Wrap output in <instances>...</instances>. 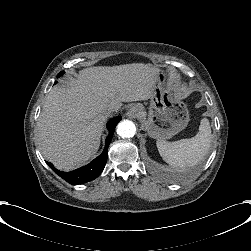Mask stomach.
<instances>
[{
	"mask_svg": "<svg viewBox=\"0 0 251 251\" xmlns=\"http://www.w3.org/2000/svg\"><path fill=\"white\" fill-rule=\"evenodd\" d=\"M169 74L157 68L154 75V95L149 98L147 117L144 109L136 117L150 138L166 140L184 130L190 121L189 108L185 101L176 99L168 87Z\"/></svg>",
	"mask_w": 251,
	"mask_h": 251,
	"instance_id": "obj_1",
	"label": "stomach"
}]
</instances>
